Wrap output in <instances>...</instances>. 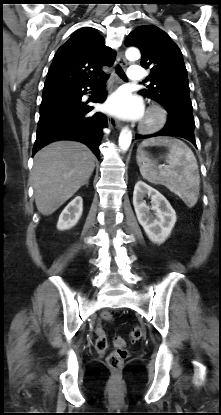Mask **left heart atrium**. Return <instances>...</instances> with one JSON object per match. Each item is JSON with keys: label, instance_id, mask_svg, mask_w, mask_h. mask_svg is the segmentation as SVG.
I'll list each match as a JSON object with an SVG mask.
<instances>
[{"label": "left heart atrium", "instance_id": "left-heart-atrium-1", "mask_svg": "<svg viewBox=\"0 0 221 415\" xmlns=\"http://www.w3.org/2000/svg\"><path fill=\"white\" fill-rule=\"evenodd\" d=\"M105 110L122 119L136 120L142 118L144 114L141 100L126 89H119L113 93L105 103Z\"/></svg>", "mask_w": 221, "mask_h": 415}]
</instances>
